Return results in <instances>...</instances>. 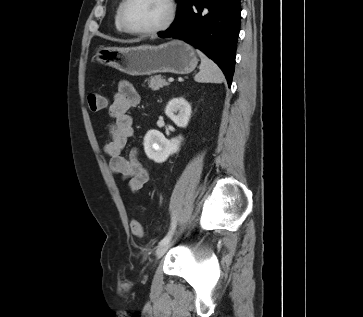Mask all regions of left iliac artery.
I'll return each mask as SVG.
<instances>
[{"label":"left iliac artery","mask_w":363,"mask_h":317,"mask_svg":"<svg viewBox=\"0 0 363 317\" xmlns=\"http://www.w3.org/2000/svg\"><path fill=\"white\" fill-rule=\"evenodd\" d=\"M175 227H176V222H175V219L173 218V221L171 223V228H170V231L168 232V234L159 242V245H163L167 242H169L172 238V235L174 233V230H175Z\"/></svg>","instance_id":"44dca946"}]
</instances>
